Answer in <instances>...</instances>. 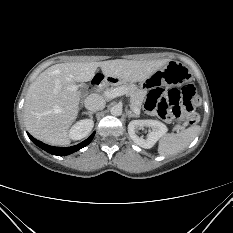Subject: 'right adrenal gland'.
<instances>
[{"mask_svg": "<svg viewBox=\"0 0 233 233\" xmlns=\"http://www.w3.org/2000/svg\"><path fill=\"white\" fill-rule=\"evenodd\" d=\"M94 113H95V112H90V111H88V112H83V114L88 115V116L90 117V119H92V115H93Z\"/></svg>", "mask_w": 233, "mask_h": 233, "instance_id": "right-adrenal-gland-1", "label": "right adrenal gland"}]
</instances>
